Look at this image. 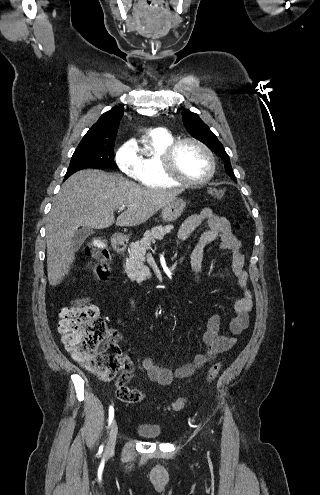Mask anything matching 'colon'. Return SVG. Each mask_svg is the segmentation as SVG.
<instances>
[{
  "label": "colon",
  "instance_id": "5ec220e1",
  "mask_svg": "<svg viewBox=\"0 0 320 495\" xmlns=\"http://www.w3.org/2000/svg\"><path fill=\"white\" fill-rule=\"evenodd\" d=\"M216 199L222 198L224 192L214 189L211 192ZM239 225H237V228ZM85 252L95 261L94 269L103 280L109 272V253L103 238H93L85 247ZM62 342L71 355L87 370L95 373L105 381L112 380L122 367L121 352L117 344L109 337L105 320L98 308L85 301H78L62 309L58 325ZM128 361L124 362V366ZM221 364L216 362L208 370L207 381L212 382L218 376ZM128 379L122 373L116 381V397L126 403H139L144 399L143 392L127 386ZM187 400L175 399L168 409L181 411Z\"/></svg>",
  "mask_w": 320,
  "mask_h": 495
}]
</instances>
